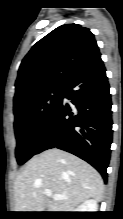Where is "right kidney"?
Segmentation results:
<instances>
[{
	"label": "right kidney",
	"instance_id": "obj_1",
	"mask_svg": "<svg viewBox=\"0 0 123 219\" xmlns=\"http://www.w3.org/2000/svg\"><path fill=\"white\" fill-rule=\"evenodd\" d=\"M97 211H98L97 201L93 199L84 201L76 208V210H74V212H97Z\"/></svg>",
	"mask_w": 123,
	"mask_h": 219
}]
</instances>
